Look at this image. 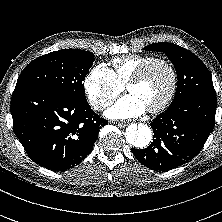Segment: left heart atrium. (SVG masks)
<instances>
[{"mask_svg": "<svg viewBox=\"0 0 222 222\" xmlns=\"http://www.w3.org/2000/svg\"><path fill=\"white\" fill-rule=\"evenodd\" d=\"M146 110L143 101L135 94L129 93L108 109L106 115L114 119H128L141 116Z\"/></svg>", "mask_w": 222, "mask_h": 222, "instance_id": "obj_1", "label": "left heart atrium"}]
</instances>
